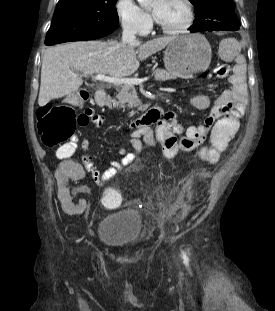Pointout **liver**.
<instances>
[{
  "mask_svg": "<svg viewBox=\"0 0 275 311\" xmlns=\"http://www.w3.org/2000/svg\"><path fill=\"white\" fill-rule=\"evenodd\" d=\"M175 38L159 37L132 44L81 41L50 47L43 56L38 104L43 107L52 99L77 91L83 84L77 72L129 76L137 71L139 61L164 49Z\"/></svg>",
  "mask_w": 275,
  "mask_h": 311,
  "instance_id": "6515ba94",
  "label": "liver"
}]
</instances>
